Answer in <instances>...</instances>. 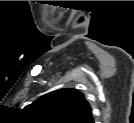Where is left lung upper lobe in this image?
Wrapping results in <instances>:
<instances>
[{
  "label": "left lung upper lobe",
  "instance_id": "5c2ea615",
  "mask_svg": "<svg viewBox=\"0 0 134 123\" xmlns=\"http://www.w3.org/2000/svg\"><path fill=\"white\" fill-rule=\"evenodd\" d=\"M27 108L42 120L55 123H94L84 94L73 88L47 93Z\"/></svg>",
  "mask_w": 134,
  "mask_h": 123
}]
</instances>
